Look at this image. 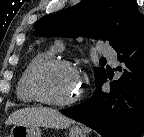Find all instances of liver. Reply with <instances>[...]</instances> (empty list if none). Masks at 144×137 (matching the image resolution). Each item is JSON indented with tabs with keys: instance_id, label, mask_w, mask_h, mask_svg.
Returning <instances> with one entry per match:
<instances>
[{
	"instance_id": "liver-1",
	"label": "liver",
	"mask_w": 144,
	"mask_h": 137,
	"mask_svg": "<svg viewBox=\"0 0 144 137\" xmlns=\"http://www.w3.org/2000/svg\"><path fill=\"white\" fill-rule=\"evenodd\" d=\"M72 119L62 115L59 111L46 107L23 108L14 111L7 119V125L43 126L64 129L70 126Z\"/></svg>"
}]
</instances>
